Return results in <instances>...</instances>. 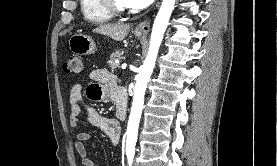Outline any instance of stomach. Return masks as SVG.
<instances>
[{"label": "stomach", "instance_id": "1", "mask_svg": "<svg viewBox=\"0 0 277 166\" xmlns=\"http://www.w3.org/2000/svg\"><path fill=\"white\" fill-rule=\"evenodd\" d=\"M135 36L141 39L143 35L141 33L135 32ZM70 50L77 55H89L96 52V44L93 39L82 33H76L69 39Z\"/></svg>", "mask_w": 277, "mask_h": 166}]
</instances>
